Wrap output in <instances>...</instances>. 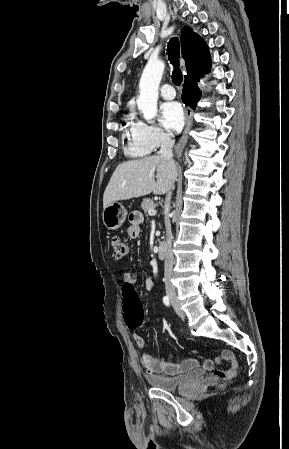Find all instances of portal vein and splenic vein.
I'll list each match as a JSON object with an SVG mask.
<instances>
[{
  "instance_id": "1",
  "label": "portal vein and splenic vein",
  "mask_w": 289,
  "mask_h": 449,
  "mask_svg": "<svg viewBox=\"0 0 289 449\" xmlns=\"http://www.w3.org/2000/svg\"><path fill=\"white\" fill-rule=\"evenodd\" d=\"M148 214H149L150 216H154V215L156 214V210L150 209V210L148 211Z\"/></svg>"
}]
</instances>
